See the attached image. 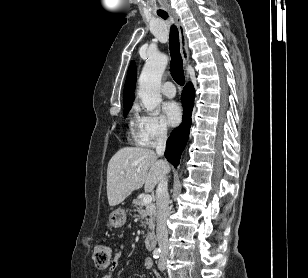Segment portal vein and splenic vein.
<instances>
[{
    "label": "portal vein and splenic vein",
    "mask_w": 308,
    "mask_h": 278,
    "mask_svg": "<svg viewBox=\"0 0 308 278\" xmlns=\"http://www.w3.org/2000/svg\"><path fill=\"white\" fill-rule=\"evenodd\" d=\"M122 174H124V171L121 172ZM143 202L144 203H151L152 202V196L149 195V194H146L144 197H143Z\"/></svg>",
    "instance_id": "portal-vein-and-splenic-vein-1"
}]
</instances>
